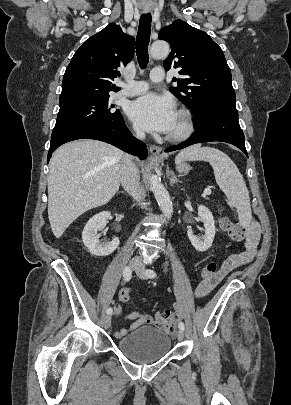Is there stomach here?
I'll use <instances>...</instances> for the list:
<instances>
[{
  "label": "stomach",
  "mask_w": 291,
  "mask_h": 405,
  "mask_svg": "<svg viewBox=\"0 0 291 405\" xmlns=\"http://www.w3.org/2000/svg\"><path fill=\"white\" fill-rule=\"evenodd\" d=\"M176 170L180 173H186L190 170V167L188 164L181 162L176 165Z\"/></svg>",
  "instance_id": "stomach-1"
}]
</instances>
